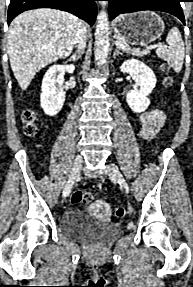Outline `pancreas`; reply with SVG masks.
<instances>
[{"mask_svg":"<svg viewBox=\"0 0 193 287\" xmlns=\"http://www.w3.org/2000/svg\"><path fill=\"white\" fill-rule=\"evenodd\" d=\"M120 42L125 45V49H122L123 51L130 52L131 54L135 56L142 57L150 53L149 49L141 50L139 48H131L127 42L123 40H120Z\"/></svg>","mask_w":193,"mask_h":287,"instance_id":"pancreas-1","label":"pancreas"}]
</instances>
